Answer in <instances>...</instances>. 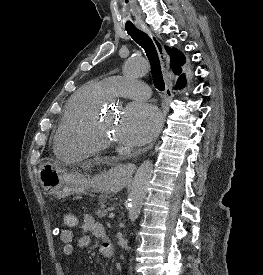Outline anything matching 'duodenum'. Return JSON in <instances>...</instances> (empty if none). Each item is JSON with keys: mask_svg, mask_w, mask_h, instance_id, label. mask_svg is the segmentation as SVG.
<instances>
[{"mask_svg": "<svg viewBox=\"0 0 263 275\" xmlns=\"http://www.w3.org/2000/svg\"><path fill=\"white\" fill-rule=\"evenodd\" d=\"M112 254H113L112 246H111V244L108 242L106 251L104 252V256H105V257H110Z\"/></svg>", "mask_w": 263, "mask_h": 275, "instance_id": "1", "label": "duodenum"}]
</instances>
